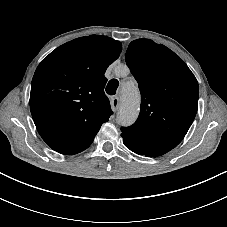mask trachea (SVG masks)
Listing matches in <instances>:
<instances>
[{
  "label": "trachea",
  "instance_id": "3493384b",
  "mask_svg": "<svg viewBox=\"0 0 227 227\" xmlns=\"http://www.w3.org/2000/svg\"><path fill=\"white\" fill-rule=\"evenodd\" d=\"M118 86H119V81L115 78L111 79L107 84L106 92L109 95H114L116 93Z\"/></svg>",
  "mask_w": 227,
  "mask_h": 227
}]
</instances>
